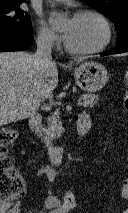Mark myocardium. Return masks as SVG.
<instances>
[{
	"label": "myocardium",
	"mask_w": 128,
	"mask_h": 213,
	"mask_svg": "<svg viewBox=\"0 0 128 213\" xmlns=\"http://www.w3.org/2000/svg\"><path fill=\"white\" fill-rule=\"evenodd\" d=\"M85 16L95 17L102 23V25L105 29L104 40L99 46H97L95 48H91V49L73 48L65 40V42H64L65 49L67 52H69L71 54H75V55L96 54V53H99V52H102L103 50H105L112 41V37H113L112 25H111L109 19L104 14H102L101 12H99L97 10H92V9L79 10L74 14V18H80V17H85Z\"/></svg>",
	"instance_id": "f54148a6"
}]
</instances>
